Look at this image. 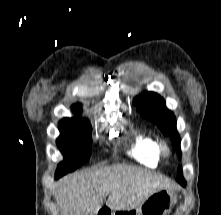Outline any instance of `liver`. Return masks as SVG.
<instances>
[{
    "label": "liver",
    "mask_w": 221,
    "mask_h": 215,
    "mask_svg": "<svg viewBox=\"0 0 221 215\" xmlns=\"http://www.w3.org/2000/svg\"><path fill=\"white\" fill-rule=\"evenodd\" d=\"M175 188L169 178L117 164L65 176L58 182L55 199L61 215H95L107 196L109 209L129 210L158 190Z\"/></svg>",
    "instance_id": "1"
}]
</instances>
